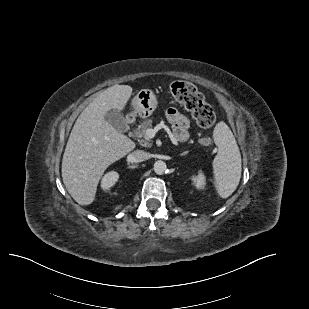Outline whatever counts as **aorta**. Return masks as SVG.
Listing matches in <instances>:
<instances>
[{
	"instance_id": "obj_1",
	"label": "aorta",
	"mask_w": 309,
	"mask_h": 309,
	"mask_svg": "<svg viewBox=\"0 0 309 309\" xmlns=\"http://www.w3.org/2000/svg\"><path fill=\"white\" fill-rule=\"evenodd\" d=\"M167 166L166 163L159 160L154 163V172L158 175H162L166 172Z\"/></svg>"
}]
</instances>
